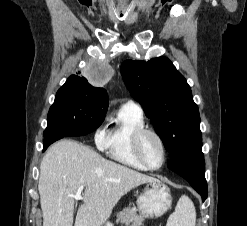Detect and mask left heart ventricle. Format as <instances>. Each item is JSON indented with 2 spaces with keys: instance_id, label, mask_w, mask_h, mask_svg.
I'll return each instance as SVG.
<instances>
[{
  "instance_id": "b2bd125f",
  "label": "left heart ventricle",
  "mask_w": 247,
  "mask_h": 226,
  "mask_svg": "<svg viewBox=\"0 0 247 226\" xmlns=\"http://www.w3.org/2000/svg\"><path fill=\"white\" fill-rule=\"evenodd\" d=\"M140 150L145 161L151 166H158L162 160L159 141L151 134H146L140 142Z\"/></svg>"
}]
</instances>
